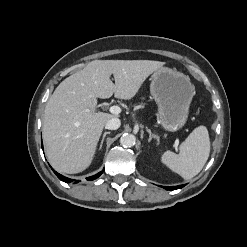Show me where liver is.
<instances>
[{
    "mask_svg": "<svg viewBox=\"0 0 247 247\" xmlns=\"http://www.w3.org/2000/svg\"><path fill=\"white\" fill-rule=\"evenodd\" d=\"M164 64L151 60H95L63 80L44 111L42 134L52 167L68 174L88 168L104 126L115 117L96 111L97 98L113 94L119 99L133 98L146 78Z\"/></svg>",
    "mask_w": 247,
    "mask_h": 247,
    "instance_id": "1",
    "label": "liver"
}]
</instances>
